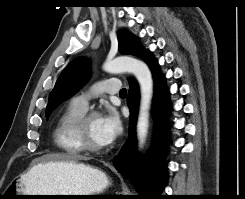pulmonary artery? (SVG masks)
<instances>
[{
  "label": "pulmonary artery",
  "mask_w": 245,
  "mask_h": 199,
  "mask_svg": "<svg viewBox=\"0 0 245 199\" xmlns=\"http://www.w3.org/2000/svg\"><path fill=\"white\" fill-rule=\"evenodd\" d=\"M121 89V82L118 79H107L99 82L95 86V91L101 94H115ZM89 95L83 94L74 98L71 102L74 106L86 110L89 100Z\"/></svg>",
  "instance_id": "e3ab8cb5"
}]
</instances>
